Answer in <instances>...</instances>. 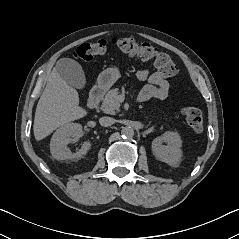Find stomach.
Here are the masks:
<instances>
[{"label": "stomach", "instance_id": "obj_1", "mask_svg": "<svg viewBox=\"0 0 239 239\" xmlns=\"http://www.w3.org/2000/svg\"><path fill=\"white\" fill-rule=\"evenodd\" d=\"M120 77L119 71L116 68L105 69L98 77V84L100 87L110 88Z\"/></svg>", "mask_w": 239, "mask_h": 239}]
</instances>
